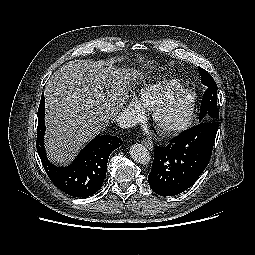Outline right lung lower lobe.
Segmentation results:
<instances>
[{
    "label": "right lung lower lobe",
    "mask_w": 255,
    "mask_h": 255,
    "mask_svg": "<svg viewBox=\"0 0 255 255\" xmlns=\"http://www.w3.org/2000/svg\"><path fill=\"white\" fill-rule=\"evenodd\" d=\"M44 94L38 108V128L36 147L43 167L54 185L63 192L86 198L93 195L103 184L109 155L122 145L116 136L97 135L78 154L75 161L65 167L53 165L46 156Z\"/></svg>",
    "instance_id": "1"
}]
</instances>
